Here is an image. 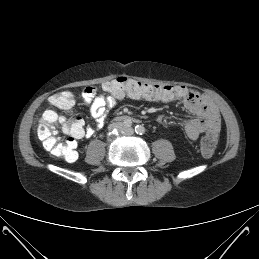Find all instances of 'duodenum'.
Listing matches in <instances>:
<instances>
[{
	"mask_svg": "<svg viewBox=\"0 0 259 259\" xmlns=\"http://www.w3.org/2000/svg\"><path fill=\"white\" fill-rule=\"evenodd\" d=\"M132 118L130 116H126V115H123V116H118L116 117V121H125V120H131Z\"/></svg>",
	"mask_w": 259,
	"mask_h": 259,
	"instance_id": "duodenum-1",
	"label": "duodenum"
}]
</instances>
